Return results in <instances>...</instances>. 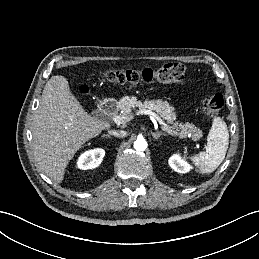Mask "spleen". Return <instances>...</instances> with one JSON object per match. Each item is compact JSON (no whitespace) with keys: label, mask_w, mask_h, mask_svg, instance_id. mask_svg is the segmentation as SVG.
<instances>
[{"label":"spleen","mask_w":259,"mask_h":259,"mask_svg":"<svg viewBox=\"0 0 259 259\" xmlns=\"http://www.w3.org/2000/svg\"><path fill=\"white\" fill-rule=\"evenodd\" d=\"M229 145V133L225 121L214 117L207 137L206 150L192 156L191 160L201 174L212 173L222 163Z\"/></svg>","instance_id":"obj_1"}]
</instances>
